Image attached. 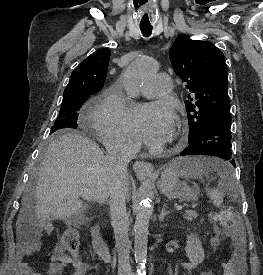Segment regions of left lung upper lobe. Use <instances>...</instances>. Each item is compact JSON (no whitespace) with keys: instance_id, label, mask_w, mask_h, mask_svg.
Instances as JSON below:
<instances>
[{"instance_id":"1","label":"left lung upper lobe","mask_w":263,"mask_h":275,"mask_svg":"<svg viewBox=\"0 0 263 275\" xmlns=\"http://www.w3.org/2000/svg\"><path fill=\"white\" fill-rule=\"evenodd\" d=\"M170 61L191 93L185 100L189 138L198 136L216 117L230 115L228 71L220 49L183 35L173 43Z\"/></svg>"}]
</instances>
